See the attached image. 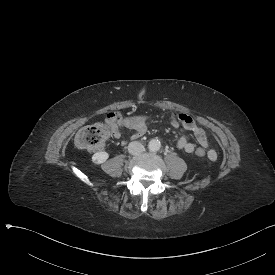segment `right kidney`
I'll return each mask as SVG.
<instances>
[{
    "label": "right kidney",
    "mask_w": 275,
    "mask_h": 275,
    "mask_svg": "<svg viewBox=\"0 0 275 275\" xmlns=\"http://www.w3.org/2000/svg\"><path fill=\"white\" fill-rule=\"evenodd\" d=\"M109 158L107 152H97L92 156V162L95 164L104 163Z\"/></svg>",
    "instance_id": "obj_1"
}]
</instances>
